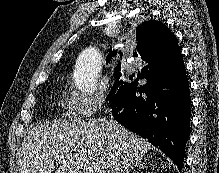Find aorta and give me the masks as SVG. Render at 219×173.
<instances>
[{"label": "aorta", "instance_id": "obj_1", "mask_svg": "<svg viewBox=\"0 0 219 173\" xmlns=\"http://www.w3.org/2000/svg\"><path fill=\"white\" fill-rule=\"evenodd\" d=\"M101 69V54L94 48L85 49L79 56L76 84L80 90L93 92Z\"/></svg>", "mask_w": 219, "mask_h": 173}]
</instances>
